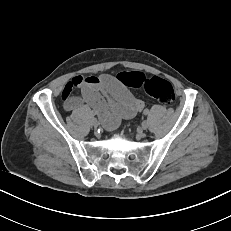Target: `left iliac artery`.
I'll return each instance as SVG.
<instances>
[{"instance_id":"44dca946","label":"left iliac artery","mask_w":231,"mask_h":231,"mask_svg":"<svg viewBox=\"0 0 231 231\" xmlns=\"http://www.w3.org/2000/svg\"><path fill=\"white\" fill-rule=\"evenodd\" d=\"M143 113H144L145 115H148V114H149V110H148V109H145Z\"/></svg>"}]
</instances>
